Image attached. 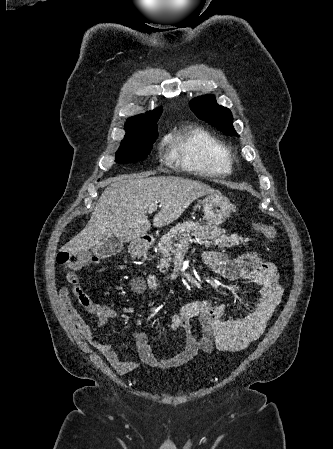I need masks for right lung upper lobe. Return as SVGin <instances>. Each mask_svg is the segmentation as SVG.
<instances>
[{"instance_id": "cb5924a9", "label": "right lung upper lobe", "mask_w": 333, "mask_h": 449, "mask_svg": "<svg viewBox=\"0 0 333 449\" xmlns=\"http://www.w3.org/2000/svg\"><path fill=\"white\" fill-rule=\"evenodd\" d=\"M161 112L162 108H158L148 112L147 114H141L129 118L125 124L126 135L123 140H133L143 137L142 130L145 123L150 119L159 118Z\"/></svg>"}]
</instances>
